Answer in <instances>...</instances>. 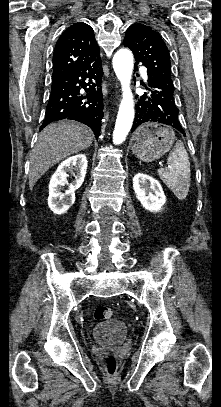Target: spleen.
Wrapping results in <instances>:
<instances>
[{
  "mask_svg": "<svg viewBox=\"0 0 221 407\" xmlns=\"http://www.w3.org/2000/svg\"><path fill=\"white\" fill-rule=\"evenodd\" d=\"M169 168H161L158 174L174 195L183 200L189 192L191 174L188 153L182 141L178 140L168 157Z\"/></svg>",
  "mask_w": 221,
  "mask_h": 407,
  "instance_id": "3e777b00",
  "label": "spleen"
}]
</instances>
